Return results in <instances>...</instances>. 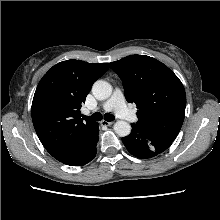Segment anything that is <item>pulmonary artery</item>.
<instances>
[{
  "label": "pulmonary artery",
  "mask_w": 220,
  "mask_h": 220,
  "mask_svg": "<svg viewBox=\"0 0 220 220\" xmlns=\"http://www.w3.org/2000/svg\"><path fill=\"white\" fill-rule=\"evenodd\" d=\"M102 109L106 112L113 111L118 117L127 121L136 120L135 114L126 107L123 93L119 89H115L110 99L103 104Z\"/></svg>",
  "instance_id": "e3ab8cb5"
}]
</instances>
